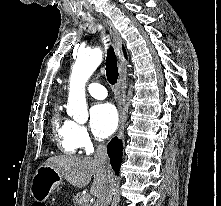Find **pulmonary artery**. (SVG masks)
I'll list each match as a JSON object with an SVG mask.
<instances>
[{
    "label": "pulmonary artery",
    "mask_w": 221,
    "mask_h": 206,
    "mask_svg": "<svg viewBox=\"0 0 221 206\" xmlns=\"http://www.w3.org/2000/svg\"><path fill=\"white\" fill-rule=\"evenodd\" d=\"M87 90L89 94L96 99H104L107 96L106 88L97 83H90Z\"/></svg>",
    "instance_id": "e3ab8cb5"
}]
</instances>
